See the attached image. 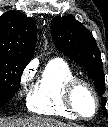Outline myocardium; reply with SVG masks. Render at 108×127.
Wrapping results in <instances>:
<instances>
[{
    "mask_svg": "<svg viewBox=\"0 0 108 127\" xmlns=\"http://www.w3.org/2000/svg\"><path fill=\"white\" fill-rule=\"evenodd\" d=\"M80 88H84L87 91H89L90 94L92 95L93 99H94V111L91 115H84L76 107L75 94H76V91ZM64 102H65L66 107L76 117H79L81 119H91V118H93L96 115V113L98 112V109H99V97H98V94H97L96 90L94 89V87L89 82H87V81H85L81 78H76L75 77L66 84L65 89H64Z\"/></svg>",
    "mask_w": 108,
    "mask_h": 127,
    "instance_id": "myocardium-1",
    "label": "myocardium"
}]
</instances>
